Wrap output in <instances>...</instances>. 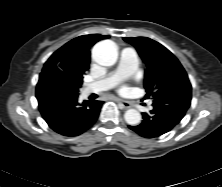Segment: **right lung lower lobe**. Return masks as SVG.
I'll return each instance as SVG.
<instances>
[{
    "mask_svg": "<svg viewBox=\"0 0 222 187\" xmlns=\"http://www.w3.org/2000/svg\"><path fill=\"white\" fill-rule=\"evenodd\" d=\"M38 107L48 126L64 136H78L97 120L103 102H78L74 92L53 71L42 72L36 87Z\"/></svg>",
    "mask_w": 222,
    "mask_h": 187,
    "instance_id": "obj_1",
    "label": "right lung lower lobe"
}]
</instances>
